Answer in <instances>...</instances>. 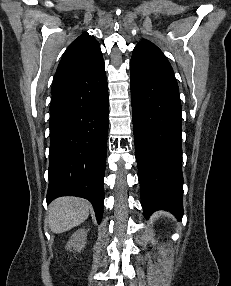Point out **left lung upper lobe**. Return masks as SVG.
Listing matches in <instances>:
<instances>
[{"instance_id": "left-lung-upper-lobe-1", "label": "left lung upper lobe", "mask_w": 231, "mask_h": 286, "mask_svg": "<svg viewBox=\"0 0 231 286\" xmlns=\"http://www.w3.org/2000/svg\"><path fill=\"white\" fill-rule=\"evenodd\" d=\"M131 60L155 69L173 73V69L165 55L155 44L148 40H142L137 44L133 50Z\"/></svg>"}]
</instances>
